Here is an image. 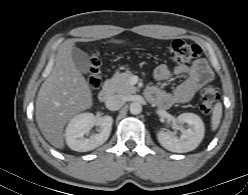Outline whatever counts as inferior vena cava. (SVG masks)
Instances as JSON below:
<instances>
[{
    "label": "inferior vena cava",
    "mask_w": 248,
    "mask_h": 195,
    "mask_svg": "<svg viewBox=\"0 0 248 195\" xmlns=\"http://www.w3.org/2000/svg\"><path fill=\"white\" fill-rule=\"evenodd\" d=\"M124 102V97L122 95L115 94L107 98L105 105L107 109L116 111L123 106Z\"/></svg>",
    "instance_id": "inferior-vena-cava-1"
}]
</instances>
